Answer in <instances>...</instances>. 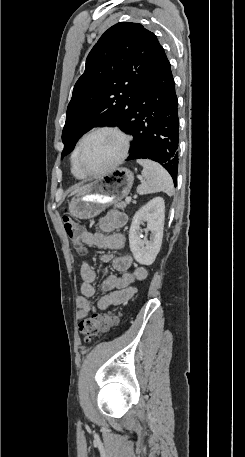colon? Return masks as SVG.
I'll return each mask as SVG.
<instances>
[{"instance_id": "obj_1", "label": "colon", "mask_w": 245, "mask_h": 457, "mask_svg": "<svg viewBox=\"0 0 245 457\" xmlns=\"http://www.w3.org/2000/svg\"><path fill=\"white\" fill-rule=\"evenodd\" d=\"M63 225L65 232L78 252H84V244L82 242L83 230L65 213L63 216ZM119 321V314L106 313L94 314L89 318L83 319L79 324V332L84 341H89L93 336L101 332H107Z\"/></svg>"}]
</instances>
